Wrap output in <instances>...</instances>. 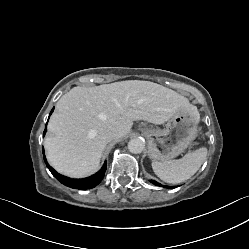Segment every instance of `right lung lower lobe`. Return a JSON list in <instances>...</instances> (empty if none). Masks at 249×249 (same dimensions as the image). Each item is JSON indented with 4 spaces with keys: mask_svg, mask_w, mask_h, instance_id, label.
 Masks as SVG:
<instances>
[{
    "mask_svg": "<svg viewBox=\"0 0 249 249\" xmlns=\"http://www.w3.org/2000/svg\"><path fill=\"white\" fill-rule=\"evenodd\" d=\"M53 110H54V108L50 112V115L52 114ZM45 133H46V129L44 130L43 135H45ZM44 160L46 162V166L48 167V169L50 170L52 175L57 180H59L62 184L66 185L68 187H71V188H74V189H80V190L90 189V188H93L96 185H98L101 182V180L103 179V177H104V173L106 171V166H107L106 162H105L103 167L101 168V170L99 172H97L96 174H94L93 176H90L88 178H85V179H71V178L65 177L63 175H60L52 167H50L48 165L47 161H46L45 156H44Z\"/></svg>",
    "mask_w": 249,
    "mask_h": 249,
    "instance_id": "right-lung-lower-lobe-1",
    "label": "right lung lower lobe"
}]
</instances>
